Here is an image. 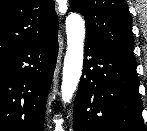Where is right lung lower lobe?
<instances>
[{
    "label": "right lung lower lobe",
    "mask_w": 147,
    "mask_h": 131,
    "mask_svg": "<svg viewBox=\"0 0 147 131\" xmlns=\"http://www.w3.org/2000/svg\"><path fill=\"white\" fill-rule=\"evenodd\" d=\"M57 33L0 56V131H44Z\"/></svg>",
    "instance_id": "obj_1"
}]
</instances>
